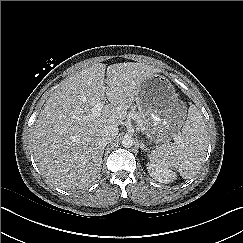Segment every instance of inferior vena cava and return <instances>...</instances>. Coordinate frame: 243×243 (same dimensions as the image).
I'll use <instances>...</instances> for the list:
<instances>
[{"label": "inferior vena cava", "mask_w": 243, "mask_h": 243, "mask_svg": "<svg viewBox=\"0 0 243 243\" xmlns=\"http://www.w3.org/2000/svg\"><path fill=\"white\" fill-rule=\"evenodd\" d=\"M118 127L116 125L106 126L101 133V140L104 144L110 143L118 135Z\"/></svg>", "instance_id": "obj_1"}]
</instances>
